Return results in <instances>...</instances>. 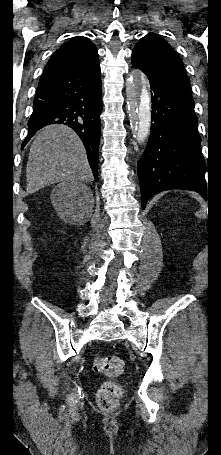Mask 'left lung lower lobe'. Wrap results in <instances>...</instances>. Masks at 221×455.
<instances>
[{"mask_svg": "<svg viewBox=\"0 0 221 455\" xmlns=\"http://www.w3.org/2000/svg\"><path fill=\"white\" fill-rule=\"evenodd\" d=\"M148 78L151 134L137 165L142 208L150 197L170 189L197 191L206 198L205 161L194 101L164 82Z\"/></svg>", "mask_w": 221, "mask_h": 455, "instance_id": "left-lung-lower-lobe-1", "label": "left lung lower lobe"}]
</instances>
